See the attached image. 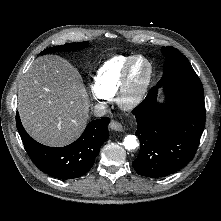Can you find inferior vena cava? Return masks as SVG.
Returning a JSON list of instances; mask_svg holds the SVG:
<instances>
[{"instance_id": "obj_1", "label": "inferior vena cava", "mask_w": 221, "mask_h": 221, "mask_svg": "<svg viewBox=\"0 0 221 221\" xmlns=\"http://www.w3.org/2000/svg\"><path fill=\"white\" fill-rule=\"evenodd\" d=\"M106 113H107V109L104 105H95L94 106L93 114L96 117H102V116L106 115Z\"/></svg>"}]
</instances>
